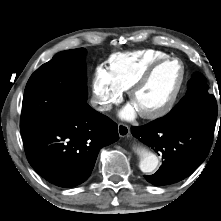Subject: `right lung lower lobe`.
Here are the masks:
<instances>
[{
  "label": "right lung lower lobe",
  "instance_id": "right-lung-lower-lobe-1",
  "mask_svg": "<svg viewBox=\"0 0 221 221\" xmlns=\"http://www.w3.org/2000/svg\"><path fill=\"white\" fill-rule=\"evenodd\" d=\"M22 136L30 165L59 187L86 181L100 148L119 139L117 125L86 102L66 118Z\"/></svg>",
  "mask_w": 221,
  "mask_h": 221
}]
</instances>
